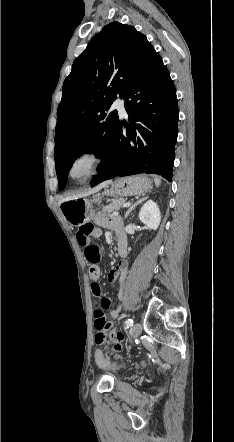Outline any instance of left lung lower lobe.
Masks as SVG:
<instances>
[{
	"instance_id": "0a47b994",
	"label": "left lung lower lobe",
	"mask_w": 234,
	"mask_h": 442,
	"mask_svg": "<svg viewBox=\"0 0 234 442\" xmlns=\"http://www.w3.org/2000/svg\"><path fill=\"white\" fill-rule=\"evenodd\" d=\"M123 98L129 124L119 122L108 156L91 180L152 173L171 181L179 118L175 86L155 51ZM127 136L122 135V127Z\"/></svg>"
}]
</instances>
